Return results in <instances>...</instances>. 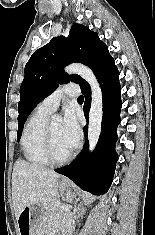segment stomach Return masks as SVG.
Instances as JSON below:
<instances>
[{"mask_svg": "<svg viewBox=\"0 0 155 235\" xmlns=\"http://www.w3.org/2000/svg\"><path fill=\"white\" fill-rule=\"evenodd\" d=\"M61 196L66 200L74 198L73 185L68 181L58 184ZM44 203H35L24 208L17 220L19 235H40V222L43 219Z\"/></svg>", "mask_w": 155, "mask_h": 235, "instance_id": "0dacf381", "label": "stomach"}]
</instances>
